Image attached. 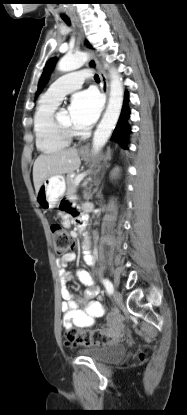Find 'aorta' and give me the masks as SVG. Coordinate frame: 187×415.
Listing matches in <instances>:
<instances>
[{"instance_id": "aorta-1", "label": "aorta", "mask_w": 187, "mask_h": 415, "mask_svg": "<svg viewBox=\"0 0 187 415\" xmlns=\"http://www.w3.org/2000/svg\"><path fill=\"white\" fill-rule=\"evenodd\" d=\"M87 60L88 54L84 52L66 55L59 61L58 69L61 72L73 71L82 67ZM110 78V97L108 106L93 136V149L95 152H98L109 139L117 124L123 105L124 89L122 78L113 70L110 72Z\"/></svg>"}]
</instances>
